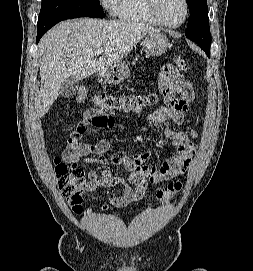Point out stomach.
<instances>
[{"label":"stomach","instance_id":"obj_1","mask_svg":"<svg viewBox=\"0 0 253 271\" xmlns=\"http://www.w3.org/2000/svg\"><path fill=\"white\" fill-rule=\"evenodd\" d=\"M169 47L168 38L160 31L149 33L143 41V49L148 56H161ZM108 83H120L130 76L128 64L119 63L100 73Z\"/></svg>","mask_w":253,"mask_h":271}]
</instances>
